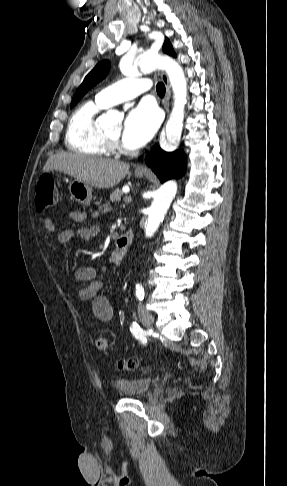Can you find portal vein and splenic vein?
I'll list each match as a JSON object with an SVG mask.
<instances>
[{"instance_id": "18ae733b", "label": "portal vein and splenic vein", "mask_w": 287, "mask_h": 486, "mask_svg": "<svg viewBox=\"0 0 287 486\" xmlns=\"http://www.w3.org/2000/svg\"><path fill=\"white\" fill-rule=\"evenodd\" d=\"M131 201H132V197H131V196H126V197L124 198V202H125V203H130Z\"/></svg>"}]
</instances>
